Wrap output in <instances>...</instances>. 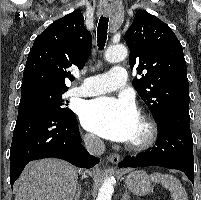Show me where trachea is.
<instances>
[{"label":"trachea","mask_w":201,"mask_h":200,"mask_svg":"<svg viewBox=\"0 0 201 200\" xmlns=\"http://www.w3.org/2000/svg\"><path fill=\"white\" fill-rule=\"evenodd\" d=\"M109 18L101 16L98 23L97 29V43L99 50H103L107 40V29H108Z\"/></svg>","instance_id":"1"}]
</instances>
